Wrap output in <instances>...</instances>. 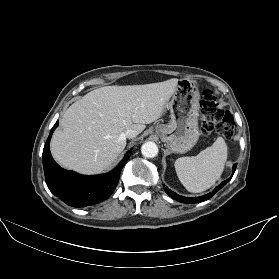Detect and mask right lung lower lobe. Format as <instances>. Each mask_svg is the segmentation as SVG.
Listing matches in <instances>:
<instances>
[{
	"label": "right lung lower lobe",
	"instance_id": "1",
	"mask_svg": "<svg viewBox=\"0 0 279 279\" xmlns=\"http://www.w3.org/2000/svg\"><path fill=\"white\" fill-rule=\"evenodd\" d=\"M56 122L46 141L43 150V167L49 190L72 207H85L107 199L117 186L121 169L128 161L132 150L128 151L123 160L109 174L82 176L73 171L61 168L52 158L49 148L52 133L58 126Z\"/></svg>",
	"mask_w": 279,
	"mask_h": 279
}]
</instances>
